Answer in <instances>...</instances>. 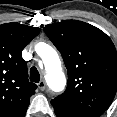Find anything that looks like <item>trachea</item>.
Segmentation results:
<instances>
[{
  "mask_svg": "<svg viewBox=\"0 0 117 117\" xmlns=\"http://www.w3.org/2000/svg\"><path fill=\"white\" fill-rule=\"evenodd\" d=\"M30 81L38 83L40 81V74L36 67L30 69Z\"/></svg>",
  "mask_w": 117,
  "mask_h": 117,
  "instance_id": "3493384b",
  "label": "trachea"
}]
</instances>
